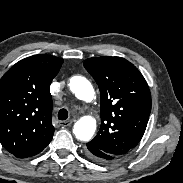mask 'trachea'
<instances>
[{
    "label": "trachea",
    "mask_w": 183,
    "mask_h": 183,
    "mask_svg": "<svg viewBox=\"0 0 183 183\" xmlns=\"http://www.w3.org/2000/svg\"><path fill=\"white\" fill-rule=\"evenodd\" d=\"M68 118V111L66 109H60L58 112L59 120H66Z\"/></svg>",
    "instance_id": "obj_1"
}]
</instances>
